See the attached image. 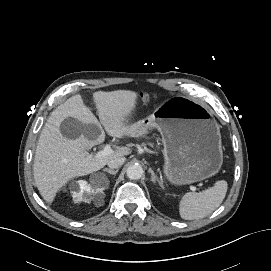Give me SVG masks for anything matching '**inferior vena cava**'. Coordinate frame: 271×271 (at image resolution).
Masks as SVG:
<instances>
[{
    "mask_svg": "<svg viewBox=\"0 0 271 271\" xmlns=\"http://www.w3.org/2000/svg\"><path fill=\"white\" fill-rule=\"evenodd\" d=\"M125 162L124 157H115L108 161V167L111 169H117L119 168L123 163Z\"/></svg>",
    "mask_w": 271,
    "mask_h": 271,
    "instance_id": "obj_1",
    "label": "inferior vena cava"
}]
</instances>
